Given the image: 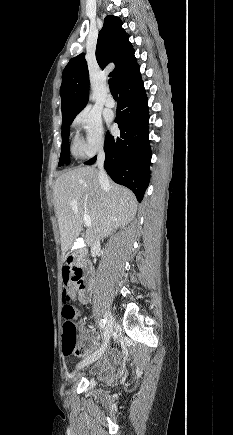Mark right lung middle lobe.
<instances>
[{"instance_id": "1", "label": "right lung middle lobe", "mask_w": 233, "mask_h": 435, "mask_svg": "<svg viewBox=\"0 0 233 435\" xmlns=\"http://www.w3.org/2000/svg\"><path fill=\"white\" fill-rule=\"evenodd\" d=\"M75 117H76V115L63 117V121H62V146H61V155H60L58 166L64 165L65 163L69 164V162H70V160H69V156H70L69 130H70V125L72 124Z\"/></svg>"}]
</instances>
